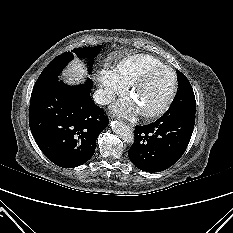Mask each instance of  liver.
<instances>
[{"mask_svg": "<svg viewBox=\"0 0 233 233\" xmlns=\"http://www.w3.org/2000/svg\"><path fill=\"white\" fill-rule=\"evenodd\" d=\"M86 74L83 64L79 60H74L68 71L64 74L68 83L73 84L76 81H81Z\"/></svg>", "mask_w": 233, "mask_h": 233, "instance_id": "1", "label": "liver"}]
</instances>
